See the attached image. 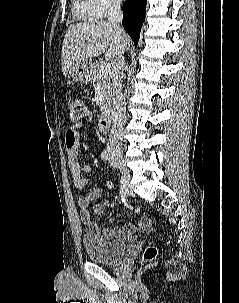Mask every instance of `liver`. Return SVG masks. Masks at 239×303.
I'll list each match as a JSON object with an SVG mask.
<instances>
[{"instance_id":"6515ba94","label":"liver","mask_w":239,"mask_h":303,"mask_svg":"<svg viewBox=\"0 0 239 303\" xmlns=\"http://www.w3.org/2000/svg\"><path fill=\"white\" fill-rule=\"evenodd\" d=\"M129 46L128 35L124 32L119 35L109 22L90 20L70 25L62 46L63 74L66 75L75 63L98 57L103 53L112 58L119 50L125 52Z\"/></svg>"}]
</instances>
